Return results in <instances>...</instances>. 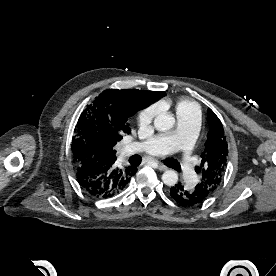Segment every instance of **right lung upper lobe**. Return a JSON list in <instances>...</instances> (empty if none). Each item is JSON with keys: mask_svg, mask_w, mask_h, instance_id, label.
I'll use <instances>...</instances> for the list:
<instances>
[{"mask_svg": "<svg viewBox=\"0 0 276 276\" xmlns=\"http://www.w3.org/2000/svg\"><path fill=\"white\" fill-rule=\"evenodd\" d=\"M165 96L163 91H142V90H118L109 89L104 91L97 99L110 102L112 108L117 112L119 118L114 121L109 131L90 154H84L79 160L94 158L100 163L114 164L116 161V150L113 147L122 139L123 134L131 133L130 127L126 125L128 117L134 115L138 110L143 109L152 102ZM75 157V156H73ZM77 160H73L75 164Z\"/></svg>", "mask_w": 276, "mask_h": 276, "instance_id": "right-lung-upper-lobe-1", "label": "right lung upper lobe"}]
</instances>
